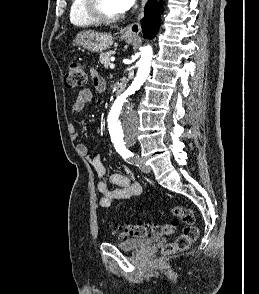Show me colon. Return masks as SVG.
Returning <instances> with one entry per match:
<instances>
[{
	"instance_id": "obj_1",
	"label": "colon",
	"mask_w": 259,
	"mask_h": 294,
	"mask_svg": "<svg viewBox=\"0 0 259 294\" xmlns=\"http://www.w3.org/2000/svg\"><path fill=\"white\" fill-rule=\"evenodd\" d=\"M86 82L87 73L81 62L77 60L71 61L65 75V86L67 88H78L84 86ZM172 214L177 220L164 225L154 223H120L114 221L113 226L114 230L120 236L147 238L173 234L178 227V221H181L185 224L184 229L173 242L164 246L163 252L165 254H171L187 250L197 239L199 234V230L195 225L194 213L190 208L177 205L172 208Z\"/></svg>"
}]
</instances>
